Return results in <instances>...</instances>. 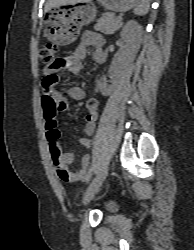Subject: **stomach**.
Wrapping results in <instances>:
<instances>
[{
	"mask_svg": "<svg viewBox=\"0 0 194 250\" xmlns=\"http://www.w3.org/2000/svg\"><path fill=\"white\" fill-rule=\"evenodd\" d=\"M106 9L124 12L139 5L140 0H98ZM44 36L51 42L66 46L73 43L83 25L92 22L97 14L95 5L86 4L73 8L55 6L46 12Z\"/></svg>",
	"mask_w": 194,
	"mask_h": 250,
	"instance_id": "0dacf381",
	"label": "stomach"
}]
</instances>
